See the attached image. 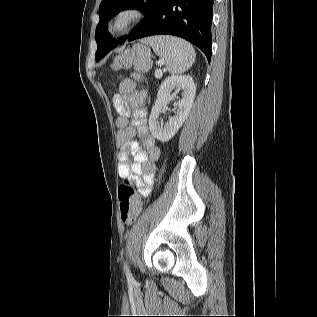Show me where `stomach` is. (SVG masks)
<instances>
[{"label": "stomach", "mask_w": 317, "mask_h": 317, "mask_svg": "<svg viewBox=\"0 0 317 317\" xmlns=\"http://www.w3.org/2000/svg\"><path fill=\"white\" fill-rule=\"evenodd\" d=\"M118 57H129L130 59L135 58H143V59H150L151 53L150 49L146 46L136 45L133 49L127 50L126 53H122Z\"/></svg>", "instance_id": "obj_1"}]
</instances>
